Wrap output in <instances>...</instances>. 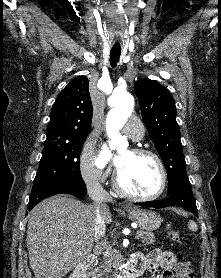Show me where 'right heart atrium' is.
Segmentation results:
<instances>
[{
  "instance_id": "right-heart-atrium-1",
  "label": "right heart atrium",
  "mask_w": 221,
  "mask_h": 278,
  "mask_svg": "<svg viewBox=\"0 0 221 278\" xmlns=\"http://www.w3.org/2000/svg\"><path fill=\"white\" fill-rule=\"evenodd\" d=\"M79 172L87 184H97L103 181L109 170L101 163L94 151V143L87 140L79 159Z\"/></svg>"
}]
</instances>
